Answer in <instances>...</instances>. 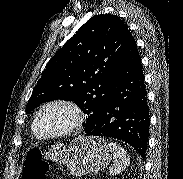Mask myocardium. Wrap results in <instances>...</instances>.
Returning a JSON list of instances; mask_svg holds the SVG:
<instances>
[{"mask_svg": "<svg viewBox=\"0 0 183 179\" xmlns=\"http://www.w3.org/2000/svg\"><path fill=\"white\" fill-rule=\"evenodd\" d=\"M52 106H63L68 108L73 114V122L68 128L62 131L49 134V133H44L41 130L40 120L44 111ZM83 122H84V113L82 108L79 106V104L69 99H55L44 104L38 111L35 118V129L40 137L59 138V137L68 136L70 134L77 132L81 128Z\"/></svg>", "mask_w": 183, "mask_h": 179, "instance_id": "f54148a6", "label": "myocardium"}]
</instances>
